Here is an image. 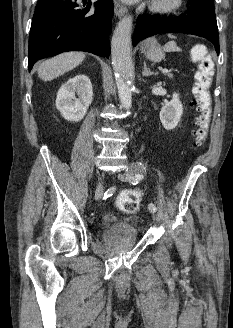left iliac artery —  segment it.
I'll list each match as a JSON object with an SVG mask.
<instances>
[{
  "instance_id": "left-iliac-artery-1",
  "label": "left iliac artery",
  "mask_w": 233,
  "mask_h": 328,
  "mask_svg": "<svg viewBox=\"0 0 233 328\" xmlns=\"http://www.w3.org/2000/svg\"><path fill=\"white\" fill-rule=\"evenodd\" d=\"M143 177H144L143 174H139V173L136 174V175H135V178L132 180V183H133L134 185L138 184L139 181L143 179ZM148 208H149V210L152 211V212H155V211L157 210L155 204H153V203H150V204L148 205Z\"/></svg>"
}]
</instances>
